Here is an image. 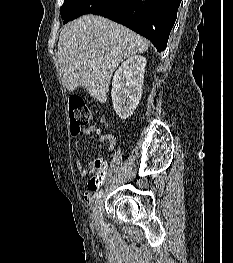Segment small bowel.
I'll return each instance as SVG.
<instances>
[{
	"mask_svg": "<svg viewBox=\"0 0 233 263\" xmlns=\"http://www.w3.org/2000/svg\"><path fill=\"white\" fill-rule=\"evenodd\" d=\"M98 132V128L96 126H91L88 127L87 129H85L83 131L84 134L86 135H91V134H95ZM98 141L100 143H105L107 145V149L109 151H111L114 147H115V137L110 134V133H103L98 137ZM81 146V142L77 141L76 142V147L80 148ZM100 160H94L92 162L89 163L88 167H84L82 165V163L77 160L76 165H77V169L81 175L82 178H88L93 172H95L96 170H98L97 168V162ZM96 177V176H95ZM102 184V183H99ZM97 189H89L85 192L84 194V200L87 204H91L93 202L94 196L95 194L94 191H96Z\"/></svg>",
	"mask_w": 233,
	"mask_h": 263,
	"instance_id": "1",
	"label": "small bowel"
}]
</instances>
